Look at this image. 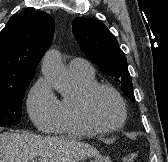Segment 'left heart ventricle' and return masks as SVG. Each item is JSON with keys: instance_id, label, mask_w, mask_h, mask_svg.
I'll use <instances>...</instances> for the list:
<instances>
[{"instance_id": "1", "label": "left heart ventricle", "mask_w": 168, "mask_h": 162, "mask_svg": "<svg viewBox=\"0 0 168 162\" xmlns=\"http://www.w3.org/2000/svg\"><path fill=\"white\" fill-rule=\"evenodd\" d=\"M90 110L94 119L104 126L115 125L121 118V109L116 98L106 90H99L93 95Z\"/></svg>"}]
</instances>
